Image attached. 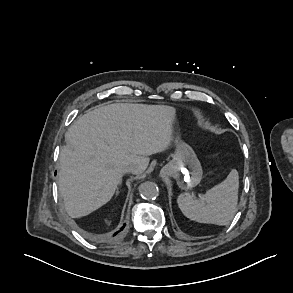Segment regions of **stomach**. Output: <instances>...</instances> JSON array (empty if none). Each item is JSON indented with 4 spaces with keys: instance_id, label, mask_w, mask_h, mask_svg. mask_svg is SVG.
Returning <instances> with one entry per match:
<instances>
[{
    "instance_id": "stomach-1",
    "label": "stomach",
    "mask_w": 293,
    "mask_h": 293,
    "mask_svg": "<svg viewBox=\"0 0 293 293\" xmlns=\"http://www.w3.org/2000/svg\"><path fill=\"white\" fill-rule=\"evenodd\" d=\"M175 143L176 151L172 160L163 168L162 174L173 177L181 189L188 190L200 183L202 166L190 145L179 136L175 138Z\"/></svg>"
}]
</instances>
